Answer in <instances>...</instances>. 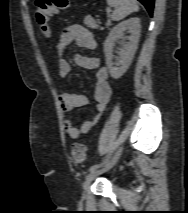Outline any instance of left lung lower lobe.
Listing matches in <instances>:
<instances>
[{
	"instance_id": "obj_1",
	"label": "left lung lower lobe",
	"mask_w": 188,
	"mask_h": 213,
	"mask_svg": "<svg viewBox=\"0 0 188 213\" xmlns=\"http://www.w3.org/2000/svg\"><path fill=\"white\" fill-rule=\"evenodd\" d=\"M138 1H140L146 7L150 15H152L154 0H138Z\"/></svg>"
}]
</instances>
